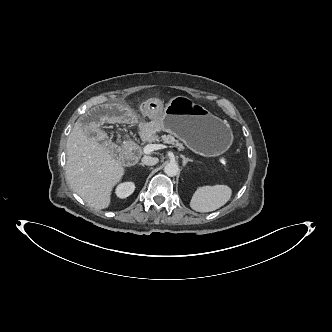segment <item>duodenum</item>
Segmentation results:
<instances>
[{
    "label": "duodenum",
    "mask_w": 332,
    "mask_h": 332,
    "mask_svg": "<svg viewBox=\"0 0 332 332\" xmlns=\"http://www.w3.org/2000/svg\"><path fill=\"white\" fill-rule=\"evenodd\" d=\"M120 154L122 158L128 162H131L135 159V154L132 151L123 150Z\"/></svg>",
    "instance_id": "obj_1"
}]
</instances>
